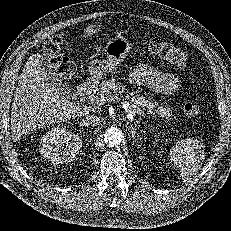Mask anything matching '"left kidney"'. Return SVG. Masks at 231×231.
I'll use <instances>...</instances> for the list:
<instances>
[{
    "instance_id": "1",
    "label": "left kidney",
    "mask_w": 231,
    "mask_h": 231,
    "mask_svg": "<svg viewBox=\"0 0 231 231\" xmlns=\"http://www.w3.org/2000/svg\"><path fill=\"white\" fill-rule=\"evenodd\" d=\"M158 141H159V139L155 138L156 143L154 144V147H158V143H157Z\"/></svg>"
}]
</instances>
